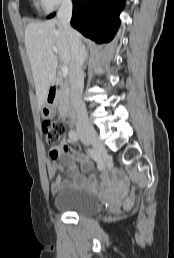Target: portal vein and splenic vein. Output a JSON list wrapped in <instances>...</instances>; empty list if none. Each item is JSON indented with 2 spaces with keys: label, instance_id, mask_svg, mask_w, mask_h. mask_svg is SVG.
<instances>
[{
  "label": "portal vein and splenic vein",
  "instance_id": "portal-vein-and-splenic-vein-1",
  "mask_svg": "<svg viewBox=\"0 0 174 258\" xmlns=\"http://www.w3.org/2000/svg\"><path fill=\"white\" fill-rule=\"evenodd\" d=\"M53 51H54L55 53L58 52V50H57L56 47H53ZM68 73H69L68 67L64 65V66L62 67V76H63V77H67Z\"/></svg>",
  "mask_w": 174,
  "mask_h": 258
}]
</instances>
